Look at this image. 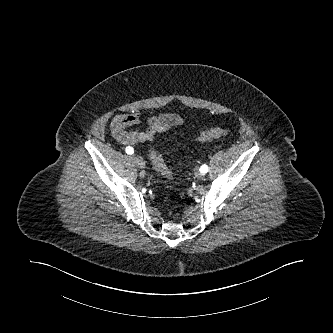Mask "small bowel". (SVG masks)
Listing matches in <instances>:
<instances>
[{"instance_id":"small-bowel-1","label":"small bowel","mask_w":333,"mask_h":333,"mask_svg":"<svg viewBox=\"0 0 333 333\" xmlns=\"http://www.w3.org/2000/svg\"><path fill=\"white\" fill-rule=\"evenodd\" d=\"M137 112L121 113L116 115L110 124L111 135L120 145H136L141 142L153 141L156 134L166 132L171 128L183 124V118L173 113H162L146 118V130H130L141 122Z\"/></svg>"}]
</instances>
